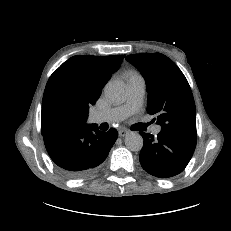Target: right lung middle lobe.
Wrapping results in <instances>:
<instances>
[{"instance_id": "1", "label": "right lung middle lobe", "mask_w": 231, "mask_h": 231, "mask_svg": "<svg viewBox=\"0 0 231 231\" xmlns=\"http://www.w3.org/2000/svg\"><path fill=\"white\" fill-rule=\"evenodd\" d=\"M89 106L74 92L67 77H50L42 101V135L74 129L86 123Z\"/></svg>"}]
</instances>
